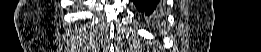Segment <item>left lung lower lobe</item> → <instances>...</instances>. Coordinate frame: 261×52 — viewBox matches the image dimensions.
<instances>
[{
	"instance_id": "left-lung-lower-lobe-1",
	"label": "left lung lower lobe",
	"mask_w": 261,
	"mask_h": 52,
	"mask_svg": "<svg viewBox=\"0 0 261 52\" xmlns=\"http://www.w3.org/2000/svg\"><path fill=\"white\" fill-rule=\"evenodd\" d=\"M133 2L143 17L152 22H158L162 8L160 0H133Z\"/></svg>"
}]
</instances>
